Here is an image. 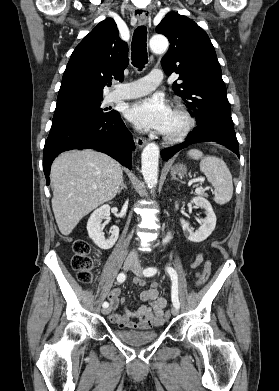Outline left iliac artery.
<instances>
[{"label":"left iliac artery","instance_id":"44dca946","mask_svg":"<svg viewBox=\"0 0 279 391\" xmlns=\"http://www.w3.org/2000/svg\"><path fill=\"white\" fill-rule=\"evenodd\" d=\"M168 274L171 277L172 280V290H171V298L173 306L176 308L180 307L179 299H178V277L176 271L172 267L166 268ZM157 272V269L155 267H148L146 268L143 273L145 276L150 277L155 275Z\"/></svg>","mask_w":279,"mask_h":391}]
</instances>
